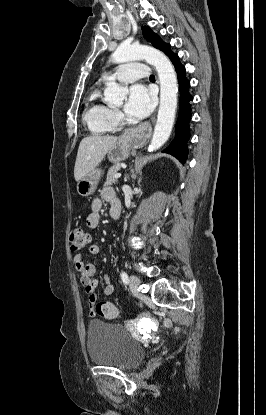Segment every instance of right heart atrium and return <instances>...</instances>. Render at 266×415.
<instances>
[{
  "label": "right heart atrium",
  "mask_w": 266,
  "mask_h": 415,
  "mask_svg": "<svg viewBox=\"0 0 266 415\" xmlns=\"http://www.w3.org/2000/svg\"><path fill=\"white\" fill-rule=\"evenodd\" d=\"M112 120L115 125H117L121 121V114L117 110H113L112 112Z\"/></svg>",
  "instance_id": "obj_1"
}]
</instances>
